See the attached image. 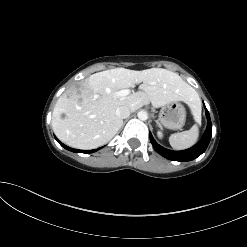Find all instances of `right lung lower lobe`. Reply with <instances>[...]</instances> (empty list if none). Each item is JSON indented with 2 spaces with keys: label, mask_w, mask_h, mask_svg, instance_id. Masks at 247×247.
<instances>
[{
  "label": "right lung lower lobe",
  "mask_w": 247,
  "mask_h": 247,
  "mask_svg": "<svg viewBox=\"0 0 247 247\" xmlns=\"http://www.w3.org/2000/svg\"><path fill=\"white\" fill-rule=\"evenodd\" d=\"M55 139L59 142V144L64 147L65 149L69 150V151H72V152H75V153H85V154H88V153H93L95 151H97L98 149H94V150H77V149H73V148H70L66 145H64L63 143H61L56 137Z\"/></svg>",
  "instance_id": "1"
}]
</instances>
